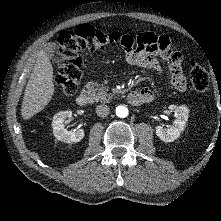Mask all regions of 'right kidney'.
Listing matches in <instances>:
<instances>
[{
	"mask_svg": "<svg viewBox=\"0 0 221 221\" xmlns=\"http://www.w3.org/2000/svg\"><path fill=\"white\" fill-rule=\"evenodd\" d=\"M72 116L71 111H61L54 115L52 121L53 133L57 140L65 143H76L83 139L85 133L83 129L68 131L64 127V120Z\"/></svg>",
	"mask_w": 221,
	"mask_h": 221,
	"instance_id": "obj_1",
	"label": "right kidney"
}]
</instances>
